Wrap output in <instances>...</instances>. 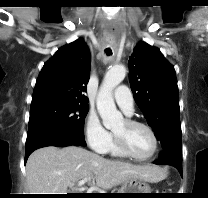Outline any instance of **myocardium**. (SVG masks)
I'll use <instances>...</instances> for the list:
<instances>
[{
  "instance_id": "1",
  "label": "myocardium",
  "mask_w": 208,
  "mask_h": 198,
  "mask_svg": "<svg viewBox=\"0 0 208 198\" xmlns=\"http://www.w3.org/2000/svg\"><path fill=\"white\" fill-rule=\"evenodd\" d=\"M124 121H125L126 125H128V126H140V127L145 128L150 133V135L153 139V150L148 156H145V157L136 156L135 154H133L131 152V150L127 146L125 140L114 133V142H115L116 146L118 147V149L125 156H127L133 160H136V161L144 162V161H148V160L152 159L155 156V154L157 153L158 147H159L158 137H157V134L154 131V129L150 125H148L147 123L139 121V120L126 118Z\"/></svg>"
}]
</instances>
